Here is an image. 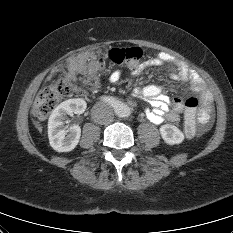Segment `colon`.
Wrapping results in <instances>:
<instances>
[{
    "instance_id": "1",
    "label": "colon",
    "mask_w": 233,
    "mask_h": 233,
    "mask_svg": "<svg viewBox=\"0 0 233 233\" xmlns=\"http://www.w3.org/2000/svg\"><path fill=\"white\" fill-rule=\"evenodd\" d=\"M143 51L139 47L113 48L107 58L118 65L134 66L142 58ZM105 60L102 57L93 58L88 67V77L90 79L98 78L104 71ZM84 95V91L73 84L68 78L59 74L58 79L51 85L44 87L38 93L34 103V113L39 117H45L60 99L71 95ZM200 104L198 97H188L185 102V135L192 138L196 135L195 116Z\"/></svg>"
}]
</instances>
